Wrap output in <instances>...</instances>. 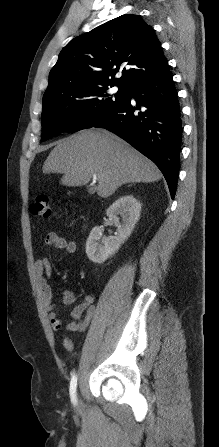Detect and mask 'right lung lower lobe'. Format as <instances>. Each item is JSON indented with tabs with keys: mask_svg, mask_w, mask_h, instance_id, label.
Returning a JSON list of instances; mask_svg holds the SVG:
<instances>
[{
	"mask_svg": "<svg viewBox=\"0 0 219 447\" xmlns=\"http://www.w3.org/2000/svg\"><path fill=\"white\" fill-rule=\"evenodd\" d=\"M131 98L90 125L110 130L152 160L163 173L174 198L179 174L182 114L173 75L167 67L160 76L129 91Z\"/></svg>",
	"mask_w": 219,
	"mask_h": 447,
	"instance_id": "right-lung-lower-lobe-1",
	"label": "right lung lower lobe"
}]
</instances>
